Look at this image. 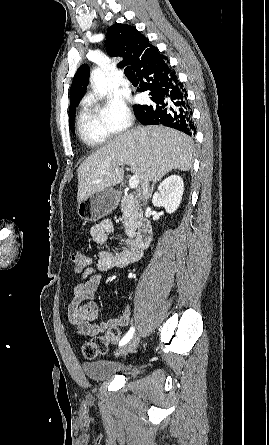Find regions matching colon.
Here are the masks:
<instances>
[{"label":"colon","instance_id":"colon-1","mask_svg":"<svg viewBox=\"0 0 269 445\" xmlns=\"http://www.w3.org/2000/svg\"><path fill=\"white\" fill-rule=\"evenodd\" d=\"M73 270L76 274H82L90 265V258L81 250H76L71 255ZM120 339V332L111 330L104 336H96L84 343L82 351L87 359H95L108 351L109 342L116 343Z\"/></svg>","mask_w":269,"mask_h":445}]
</instances>
